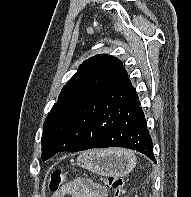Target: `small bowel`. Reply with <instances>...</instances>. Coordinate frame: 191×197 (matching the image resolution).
I'll return each mask as SVG.
<instances>
[{"mask_svg": "<svg viewBox=\"0 0 191 197\" xmlns=\"http://www.w3.org/2000/svg\"><path fill=\"white\" fill-rule=\"evenodd\" d=\"M51 197H107L106 189L90 181L68 182Z\"/></svg>", "mask_w": 191, "mask_h": 197, "instance_id": "c3829d8e", "label": "small bowel"}]
</instances>
